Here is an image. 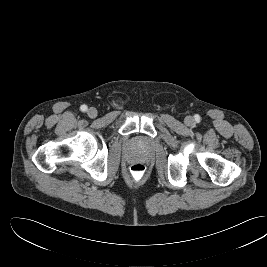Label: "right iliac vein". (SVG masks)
<instances>
[{
  "label": "right iliac vein",
  "instance_id": "right-iliac-vein-1",
  "mask_svg": "<svg viewBox=\"0 0 267 267\" xmlns=\"http://www.w3.org/2000/svg\"><path fill=\"white\" fill-rule=\"evenodd\" d=\"M98 112H97V109L94 108V107H90L88 110H87V115L90 117V118H95L97 116Z\"/></svg>",
  "mask_w": 267,
  "mask_h": 267
}]
</instances>
